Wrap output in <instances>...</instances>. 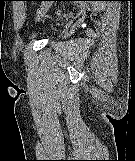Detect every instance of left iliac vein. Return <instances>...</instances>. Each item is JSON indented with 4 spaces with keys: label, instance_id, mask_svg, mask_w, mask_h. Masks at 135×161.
Returning <instances> with one entry per match:
<instances>
[{
    "label": "left iliac vein",
    "instance_id": "left-iliac-vein-1",
    "mask_svg": "<svg viewBox=\"0 0 135 161\" xmlns=\"http://www.w3.org/2000/svg\"><path fill=\"white\" fill-rule=\"evenodd\" d=\"M50 7V2L47 1L45 3H43L41 5V7L39 8L38 12H37V17L40 18L42 17L43 15H45V13L47 12V10L49 9Z\"/></svg>",
    "mask_w": 135,
    "mask_h": 161
}]
</instances>
